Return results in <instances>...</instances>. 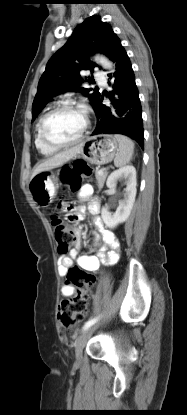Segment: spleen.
<instances>
[{"mask_svg":"<svg viewBox=\"0 0 187 415\" xmlns=\"http://www.w3.org/2000/svg\"><path fill=\"white\" fill-rule=\"evenodd\" d=\"M118 142V150L114 159V165L116 167H123L128 164L134 153V142L126 136L116 134L114 135Z\"/></svg>","mask_w":187,"mask_h":415,"instance_id":"spleen-1","label":"spleen"}]
</instances>
